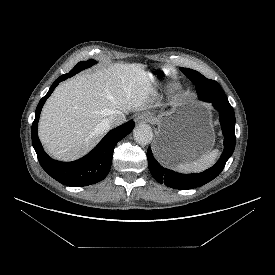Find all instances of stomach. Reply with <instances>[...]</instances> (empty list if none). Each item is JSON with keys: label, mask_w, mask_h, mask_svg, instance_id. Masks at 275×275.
Wrapping results in <instances>:
<instances>
[{"label": "stomach", "mask_w": 275, "mask_h": 275, "mask_svg": "<svg viewBox=\"0 0 275 275\" xmlns=\"http://www.w3.org/2000/svg\"><path fill=\"white\" fill-rule=\"evenodd\" d=\"M167 67L154 66L149 72L153 78L166 74ZM207 105L195 102L173 103L170 112L155 118L158 125L154 152L164 164L191 162L210 152L215 134Z\"/></svg>", "instance_id": "stomach-1"}]
</instances>
